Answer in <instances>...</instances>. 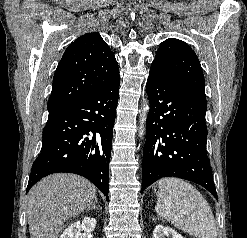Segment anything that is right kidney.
Returning a JSON list of instances; mask_svg holds the SVG:
<instances>
[{"instance_id": "obj_1", "label": "right kidney", "mask_w": 247, "mask_h": 238, "mask_svg": "<svg viewBox=\"0 0 247 238\" xmlns=\"http://www.w3.org/2000/svg\"><path fill=\"white\" fill-rule=\"evenodd\" d=\"M95 226L96 220L94 218L85 217L82 222L77 221L65 229L60 238H79L81 230L86 233H91L93 232Z\"/></svg>"}]
</instances>
